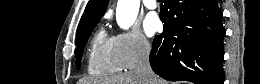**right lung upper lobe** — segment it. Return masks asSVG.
Returning <instances> with one entry per match:
<instances>
[{"mask_svg": "<svg viewBox=\"0 0 260 84\" xmlns=\"http://www.w3.org/2000/svg\"><path fill=\"white\" fill-rule=\"evenodd\" d=\"M107 5L108 0H89L78 26L77 36L90 25L101 19Z\"/></svg>", "mask_w": 260, "mask_h": 84, "instance_id": "1", "label": "right lung upper lobe"}]
</instances>
